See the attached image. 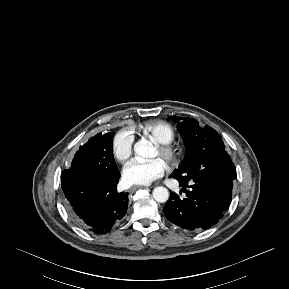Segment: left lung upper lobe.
<instances>
[{"label":"left lung upper lobe","mask_w":289,"mask_h":289,"mask_svg":"<svg viewBox=\"0 0 289 289\" xmlns=\"http://www.w3.org/2000/svg\"><path fill=\"white\" fill-rule=\"evenodd\" d=\"M167 119L177 123L186 147L185 157L172 175L187 184L206 181L232 190L236 168L217 131L209 126L200 127L192 118Z\"/></svg>","instance_id":"left-lung-upper-lobe-1"}]
</instances>
